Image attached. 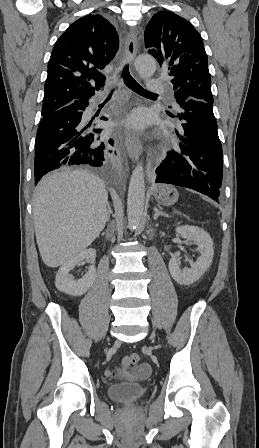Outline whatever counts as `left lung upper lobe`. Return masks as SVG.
<instances>
[{"label":"left lung upper lobe","mask_w":259,"mask_h":448,"mask_svg":"<svg viewBox=\"0 0 259 448\" xmlns=\"http://www.w3.org/2000/svg\"><path fill=\"white\" fill-rule=\"evenodd\" d=\"M144 37L148 52L168 69L178 105L189 99L213 104L202 37L187 20L159 11L146 26Z\"/></svg>","instance_id":"left-lung-upper-lobe-1"}]
</instances>
